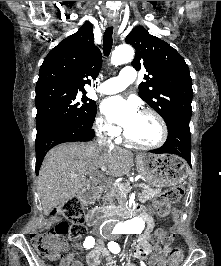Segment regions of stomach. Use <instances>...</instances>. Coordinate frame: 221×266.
I'll return each instance as SVG.
<instances>
[{
  "instance_id": "stomach-1",
  "label": "stomach",
  "mask_w": 221,
  "mask_h": 266,
  "mask_svg": "<svg viewBox=\"0 0 221 266\" xmlns=\"http://www.w3.org/2000/svg\"><path fill=\"white\" fill-rule=\"evenodd\" d=\"M136 165L138 172L159 188L181 184L189 173L188 164L174 155L141 154Z\"/></svg>"
}]
</instances>
